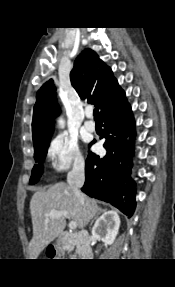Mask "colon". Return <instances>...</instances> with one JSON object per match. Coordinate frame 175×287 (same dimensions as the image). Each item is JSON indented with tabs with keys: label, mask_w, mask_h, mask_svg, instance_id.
Returning a JSON list of instances; mask_svg holds the SVG:
<instances>
[{
	"label": "colon",
	"mask_w": 175,
	"mask_h": 287,
	"mask_svg": "<svg viewBox=\"0 0 175 287\" xmlns=\"http://www.w3.org/2000/svg\"><path fill=\"white\" fill-rule=\"evenodd\" d=\"M47 252L49 257H55L57 254V250L54 247H50Z\"/></svg>",
	"instance_id": "colon-1"
}]
</instances>
